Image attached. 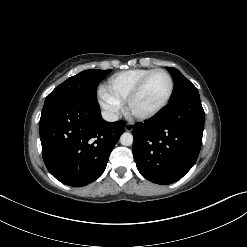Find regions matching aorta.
I'll return each mask as SVG.
<instances>
[{"mask_svg":"<svg viewBox=\"0 0 247 247\" xmlns=\"http://www.w3.org/2000/svg\"><path fill=\"white\" fill-rule=\"evenodd\" d=\"M120 142L124 146H130L133 144V135L131 133L125 132L120 137Z\"/></svg>","mask_w":247,"mask_h":247,"instance_id":"1","label":"aorta"}]
</instances>
